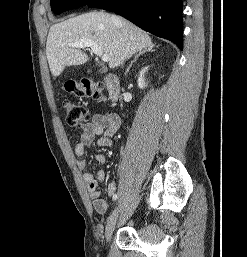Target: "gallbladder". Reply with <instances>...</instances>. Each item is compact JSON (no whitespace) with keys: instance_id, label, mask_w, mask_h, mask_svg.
I'll return each instance as SVG.
<instances>
[{"instance_id":"bac80fb5","label":"gallbladder","mask_w":247,"mask_h":257,"mask_svg":"<svg viewBox=\"0 0 247 257\" xmlns=\"http://www.w3.org/2000/svg\"><path fill=\"white\" fill-rule=\"evenodd\" d=\"M99 72H100L101 74L106 73V69L102 68V69H100Z\"/></svg>"}]
</instances>
